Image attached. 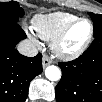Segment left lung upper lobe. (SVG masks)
<instances>
[{
  "label": "left lung upper lobe",
  "instance_id": "obj_1",
  "mask_svg": "<svg viewBox=\"0 0 102 102\" xmlns=\"http://www.w3.org/2000/svg\"><path fill=\"white\" fill-rule=\"evenodd\" d=\"M94 22V38L102 37V15L88 13Z\"/></svg>",
  "mask_w": 102,
  "mask_h": 102
}]
</instances>
